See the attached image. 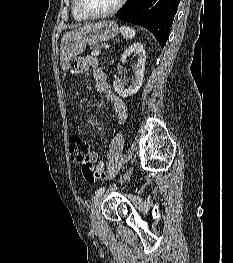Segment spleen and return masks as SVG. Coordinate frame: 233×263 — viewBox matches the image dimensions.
Here are the masks:
<instances>
[{
	"instance_id": "3e777b00",
	"label": "spleen",
	"mask_w": 233,
	"mask_h": 263,
	"mask_svg": "<svg viewBox=\"0 0 233 263\" xmlns=\"http://www.w3.org/2000/svg\"><path fill=\"white\" fill-rule=\"evenodd\" d=\"M120 32L124 38L131 40L135 37V30L127 26H121Z\"/></svg>"
}]
</instances>
